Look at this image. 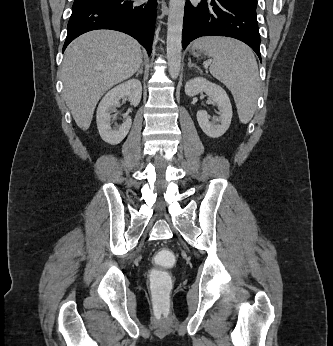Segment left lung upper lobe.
Wrapping results in <instances>:
<instances>
[{
    "instance_id": "obj_1",
    "label": "left lung upper lobe",
    "mask_w": 333,
    "mask_h": 346,
    "mask_svg": "<svg viewBox=\"0 0 333 346\" xmlns=\"http://www.w3.org/2000/svg\"><path fill=\"white\" fill-rule=\"evenodd\" d=\"M235 4L244 6L254 12H256L257 0H232Z\"/></svg>"
}]
</instances>
